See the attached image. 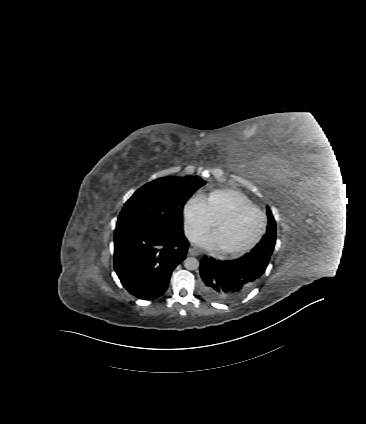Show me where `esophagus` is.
<instances>
[{
    "label": "esophagus",
    "mask_w": 366,
    "mask_h": 424,
    "mask_svg": "<svg viewBox=\"0 0 366 424\" xmlns=\"http://www.w3.org/2000/svg\"><path fill=\"white\" fill-rule=\"evenodd\" d=\"M188 253L191 256H199L200 255L199 251L196 248H193V247L189 248Z\"/></svg>",
    "instance_id": "34e87169"
}]
</instances>
